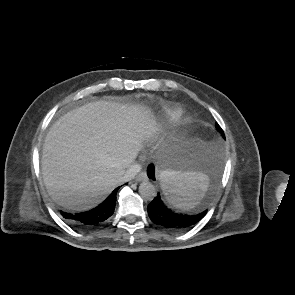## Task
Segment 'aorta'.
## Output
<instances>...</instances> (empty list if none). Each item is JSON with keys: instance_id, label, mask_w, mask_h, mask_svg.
<instances>
[{"instance_id": "762f6f07", "label": "aorta", "mask_w": 295, "mask_h": 295, "mask_svg": "<svg viewBox=\"0 0 295 295\" xmlns=\"http://www.w3.org/2000/svg\"><path fill=\"white\" fill-rule=\"evenodd\" d=\"M139 194L143 199L152 200L156 197L157 191L151 182L144 181L139 186Z\"/></svg>"}]
</instances>
